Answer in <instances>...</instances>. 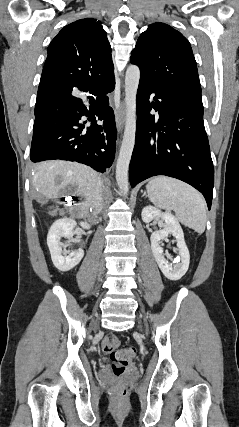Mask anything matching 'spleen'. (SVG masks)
<instances>
[{"label": "spleen", "mask_w": 239, "mask_h": 427, "mask_svg": "<svg viewBox=\"0 0 239 427\" xmlns=\"http://www.w3.org/2000/svg\"><path fill=\"white\" fill-rule=\"evenodd\" d=\"M146 189L156 207L173 210L184 226L198 233L205 231L206 203L193 187L174 178L158 176L148 182Z\"/></svg>", "instance_id": "3e777b00"}]
</instances>
